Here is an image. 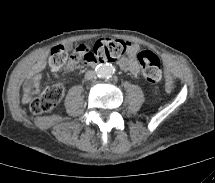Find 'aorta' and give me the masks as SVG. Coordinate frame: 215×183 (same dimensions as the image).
<instances>
[{"mask_svg":"<svg viewBox=\"0 0 215 183\" xmlns=\"http://www.w3.org/2000/svg\"><path fill=\"white\" fill-rule=\"evenodd\" d=\"M96 73L99 77L109 78L115 73V68L109 63L99 64Z\"/></svg>","mask_w":215,"mask_h":183,"instance_id":"obj_1","label":"aorta"}]
</instances>
